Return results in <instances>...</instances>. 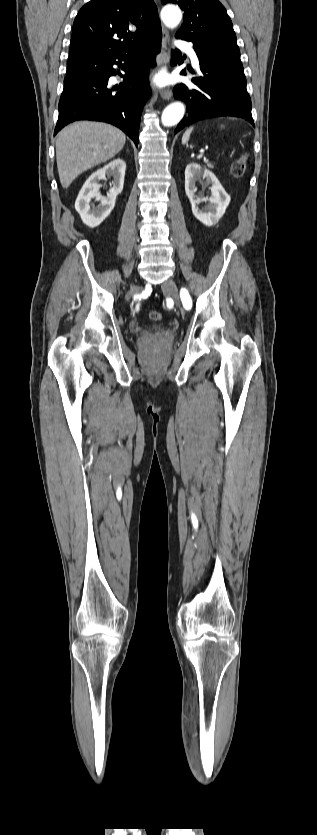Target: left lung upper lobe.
<instances>
[{"label":"left lung upper lobe","instance_id":"5c2ea615","mask_svg":"<svg viewBox=\"0 0 317 835\" xmlns=\"http://www.w3.org/2000/svg\"><path fill=\"white\" fill-rule=\"evenodd\" d=\"M163 4H178L184 11L183 24L176 38L193 44L209 45L239 50L231 19L218 0H161Z\"/></svg>","mask_w":317,"mask_h":835}]
</instances>
